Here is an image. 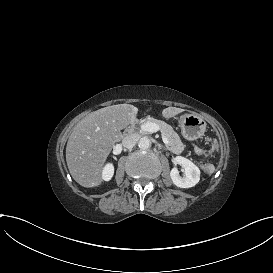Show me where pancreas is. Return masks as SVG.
Listing matches in <instances>:
<instances>
[{"label":"pancreas","mask_w":273,"mask_h":273,"mask_svg":"<svg viewBox=\"0 0 273 273\" xmlns=\"http://www.w3.org/2000/svg\"><path fill=\"white\" fill-rule=\"evenodd\" d=\"M150 122L157 124L160 132L164 135L165 139L168 140V144H166L167 150L176 155H181L184 152V144L171 126L156 119H151Z\"/></svg>","instance_id":"cf45deb5"}]
</instances>
